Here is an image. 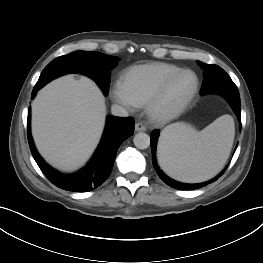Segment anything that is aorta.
<instances>
[{
  "mask_svg": "<svg viewBox=\"0 0 263 263\" xmlns=\"http://www.w3.org/2000/svg\"><path fill=\"white\" fill-rule=\"evenodd\" d=\"M134 145L138 149H146L150 146V137L144 132L137 133L133 139Z\"/></svg>",
  "mask_w": 263,
  "mask_h": 263,
  "instance_id": "obj_1",
  "label": "aorta"
}]
</instances>
